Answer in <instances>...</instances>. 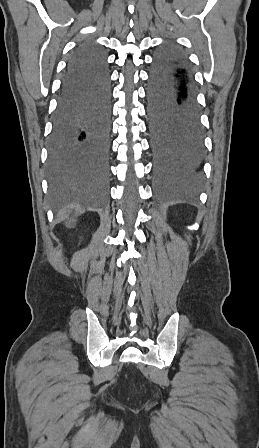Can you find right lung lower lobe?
Here are the masks:
<instances>
[{"label":"right lung lower lobe","mask_w":259,"mask_h":448,"mask_svg":"<svg viewBox=\"0 0 259 448\" xmlns=\"http://www.w3.org/2000/svg\"><path fill=\"white\" fill-rule=\"evenodd\" d=\"M111 81L103 50L82 42L62 80L49 139L52 183L95 187L106 183L110 165Z\"/></svg>","instance_id":"98d812e1"}]
</instances>
